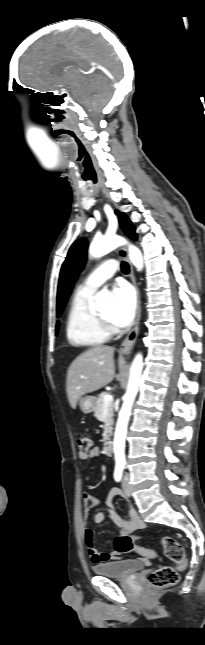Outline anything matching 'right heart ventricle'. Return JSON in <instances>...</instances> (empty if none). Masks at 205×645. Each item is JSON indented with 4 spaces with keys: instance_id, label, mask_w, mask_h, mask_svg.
<instances>
[{
    "instance_id": "right-heart-ventricle-1",
    "label": "right heart ventricle",
    "mask_w": 205,
    "mask_h": 645,
    "mask_svg": "<svg viewBox=\"0 0 205 645\" xmlns=\"http://www.w3.org/2000/svg\"><path fill=\"white\" fill-rule=\"evenodd\" d=\"M92 292L77 289L67 315L66 336L75 346L95 347L105 343L109 334L104 331L92 307Z\"/></svg>"
}]
</instances>
